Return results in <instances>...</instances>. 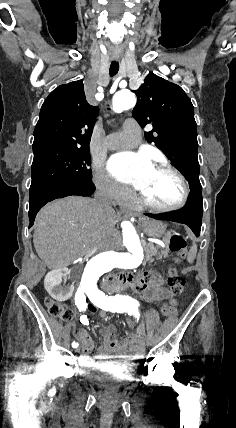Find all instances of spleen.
Wrapping results in <instances>:
<instances>
[{"instance_id": "3e777b00", "label": "spleen", "mask_w": 236, "mask_h": 428, "mask_svg": "<svg viewBox=\"0 0 236 428\" xmlns=\"http://www.w3.org/2000/svg\"><path fill=\"white\" fill-rule=\"evenodd\" d=\"M196 254H197V246H196V244H193V246H192V248L188 254V258H187L188 262H193V260H195Z\"/></svg>"}]
</instances>
